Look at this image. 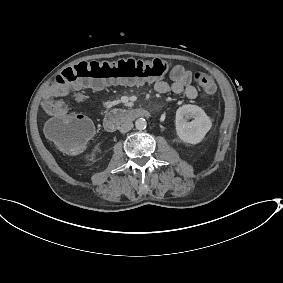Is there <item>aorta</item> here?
Instances as JSON below:
<instances>
[{
    "mask_svg": "<svg viewBox=\"0 0 283 283\" xmlns=\"http://www.w3.org/2000/svg\"><path fill=\"white\" fill-rule=\"evenodd\" d=\"M146 126H147V122L144 118H139L135 121V127L138 130H143L146 128Z\"/></svg>",
    "mask_w": 283,
    "mask_h": 283,
    "instance_id": "obj_1",
    "label": "aorta"
}]
</instances>
